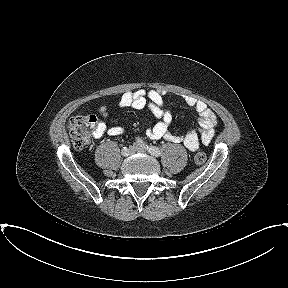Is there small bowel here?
Segmentation results:
<instances>
[{
    "label": "small bowel",
    "instance_id": "obj_1",
    "mask_svg": "<svg viewBox=\"0 0 288 288\" xmlns=\"http://www.w3.org/2000/svg\"><path fill=\"white\" fill-rule=\"evenodd\" d=\"M164 93L156 89H139L125 92L118 101L119 108L144 109L147 108L158 119V122L145 132V136L150 139H165L173 143H183L185 147L194 152L198 149L199 141L205 145L209 144L215 136L217 118L214 112L202 101L192 97L183 96L185 103L191 107L199 116V129H190L183 135L170 132L169 127L172 122V114L163 107ZM99 114L103 119L109 116L107 106L99 108ZM124 129L119 126L108 127L104 121L99 122L93 131L95 138H100L104 134L110 136H120Z\"/></svg>",
    "mask_w": 288,
    "mask_h": 288
}]
</instances>
